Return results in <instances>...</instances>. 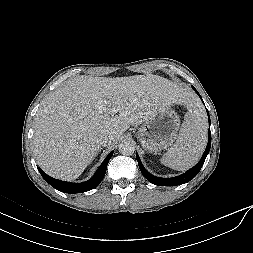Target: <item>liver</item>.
<instances>
[{"instance_id":"1","label":"liver","mask_w":253,"mask_h":253,"mask_svg":"<svg viewBox=\"0 0 253 253\" xmlns=\"http://www.w3.org/2000/svg\"><path fill=\"white\" fill-rule=\"evenodd\" d=\"M188 93L158 75L78 76L50 94L34 125V154L48 175L77 179L101 149L103 132L116 142L160 107L181 104ZM119 107V114L111 112ZM110 144V145H111Z\"/></svg>"}]
</instances>
